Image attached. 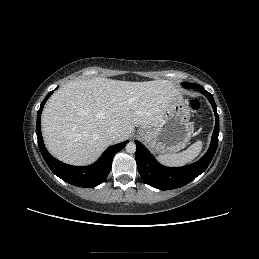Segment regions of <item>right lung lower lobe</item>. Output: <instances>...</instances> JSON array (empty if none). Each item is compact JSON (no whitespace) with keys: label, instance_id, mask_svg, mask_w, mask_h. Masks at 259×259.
I'll list each match as a JSON object with an SVG mask.
<instances>
[{"label":"right lung lower lobe","instance_id":"98d812e1","mask_svg":"<svg viewBox=\"0 0 259 259\" xmlns=\"http://www.w3.org/2000/svg\"><path fill=\"white\" fill-rule=\"evenodd\" d=\"M52 93L53 91L48 93V95L41 103L40 109L37 113L36 134L40 152L51 171L65 182L84 188L98 186L107 178L111 170V164L114 155L123 149L128 141L108 147L103 152L102 156L90 166H71L55 159L45 148L41 134V113L44 104Z\"/></svg>","mask_w":259,"mask_h":259}]
</instances>
